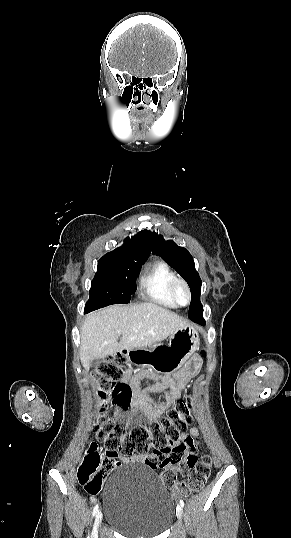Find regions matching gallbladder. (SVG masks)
I'll list each match as a JSON object with an SVG mask.
<instances>
[{
    "label": "gallbladder",
    "mask_w": 291,
    "mask_h": 538,
    "mask_svg": "<svg viewBox=\"0 0 291 538\" xmlns=\"http://www.w3.org/2000/svg\"><path fill=\"white\" fill-rule=\"evenodd\" d=\"M99 363H100V360H99V359H94V360L91 361V365H92L93 367H97V366L99 365Z\"/></svg>",
    "instance_id": "bac80fb5"
}]
</instances>
